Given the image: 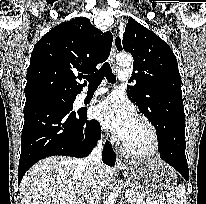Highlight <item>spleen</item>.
I'll use <instances>...</instances> for the list:
<instances>
[{"label":"spleen","instance_id":"obj_1","mask_svg":"<svg viewBox=\"0 0 206 204\" xmlns=\"http://www.w3.org/2000/svg\"><path fill=\"white\" fill-rule=\"evenodd\" d=\"M185 188L182 185H179L174 190L170 191V194L167 197L168 204H183L185 199Z\"/></svg>","mask_w":206,"mask_h":204}]
</instances>
